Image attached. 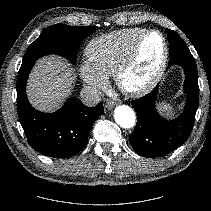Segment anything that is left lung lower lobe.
I'll list each match as a JSON object with an SVG mask.
<instances>
[{"instance_id":"left-lung-lower-lobe-1","label":"left lung lower lobe","mask_w":211,"mask_h":211,"mask_svg":"<svg viewBox=\"0 0 211 211\" xmlns=\"http://www.w3.org/2000/svg\"><path fill=\"white\" fill-rule=\"evenodd\" d=\"M169 49L177 50L181 37L176 32L167 33ZM169 66L179 65L185 72L184 93L186 105L183 113L175 120L160 117L155 108L158 86L142 98L132 101L137 113V124L129 140L137 154L155 158L180 147L189 137L198 108L199 87L196 62L189 50L171 53Z\"/></svg>"}]
</instances>
